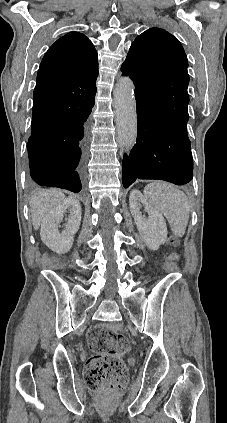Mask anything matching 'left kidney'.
I'll list each match as a JSON object with an SVG mask.
<instances>
[{
  "label": "left kidney",
  "mask_w": 227,
  "mask_h": 423,
  "mask_svg": "<svg viewBox=\"0 0 227 423\" xmlns=\"http://www.w3.org/2000/svg\"><path fill=\"white\" fill-rule=\"evenodd\" d=\"M129 206L137 229L141 233L145 243H147L150 249H158L159 245L165 243L168 233L166 221L162 213L151 208L139 190H132L129 196ZM142 206L147 211L148 217L140 211Z\"/></svg>",
  "instance_id": "left-kidney-1"
}]
</instances>
